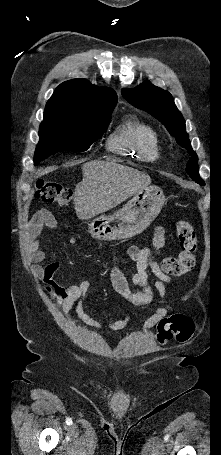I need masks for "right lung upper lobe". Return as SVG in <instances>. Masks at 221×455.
Returning a JSON list of instances; mask_svg holds the SVG:
<instances>
[{
	"label": "right lung upper lobe",
	"instance_id": "1",
	"mask_svg": "<svg viewBox=\"0 0 221 455\" xmlns=\"http://www.w3.org/2000/svg\"><path fill=\"white\" fill-rule=\"evenodd\" d=\"M117 100L111 88L91 85L85 79H73L56 88L46 104L44 114L83 119L114 109Z\"/></svg>",
	"mask_w": 221,
	"mask_h": 455
}]
</instances>
